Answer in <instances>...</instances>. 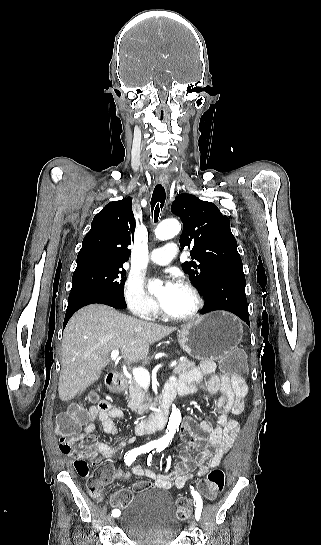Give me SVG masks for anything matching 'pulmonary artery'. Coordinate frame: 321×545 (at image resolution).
I'll use <instances>...</instances> for the list:
<instances>
[{
  "label": "pulmonary artery",
  "instance_id": "1",
  "mask_svg": "<svg viewBox=\"0 0 321 545\" xmlns=\"http://www.w3.org/2000/svg\"><path fill=\"white\" fill-rule=\"evenodd\" d=\"M165 249L156 248L152 250L145 259L146 263H154L158 265H166L176 259V251L178 244L176 241H167Z\"/></svg>",
  "mask_w": 321,
  "mask_h": 545
}]
</instances>
